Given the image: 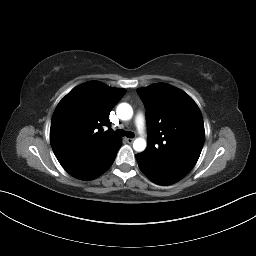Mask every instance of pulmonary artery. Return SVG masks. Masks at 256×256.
<instances>
[{
	"label": "pulmonary artery",
	"mask_w": 256,
	"mask_h": 256,
	"mask_svg": "<svg viewBox=\"0 0 256 256\" xmlns=\"http://www.w3.org/2000/svg\"><path fill=\"white\" fill-rule=\"evenodd\" d=\"M135 125L139 131L140 134L144 135V130H145V119L142 114L138 113L135 116Z\"/></svg>",
	"instance_id": "1"
}]
</instances>
